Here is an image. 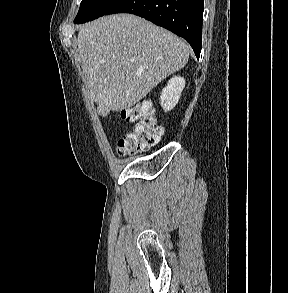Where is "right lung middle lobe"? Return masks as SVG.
<instances>
[{
	"instance_id": "dd1d6c3e",
	"label": "right lung middle lobe",
	"mask_w": 288,
	"mask_h": 293,
	"mask_svg": "<svg viewBox=\"0 0 288 293\" xmlns=\"http://www.w3.org/2000/svg\"><path fill=\"white\" fill-rule=\"evenodd\" d=\"M121 0H82L74 23L80 24L105 15Z\"/></svg>"
}]
</instances>
